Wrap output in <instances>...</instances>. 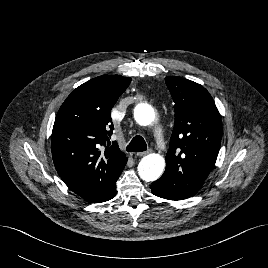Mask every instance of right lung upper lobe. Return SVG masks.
I'll list each match as a JSON object with an SVG mask.
<instances>
[{
  "label": "right lung upper lobe",
  "mask_w": 268,
  "mask_h": 268,
  "mask_svg": "<svg viewBox=\"0 0 268 268\" xmlns=\"http://www.w3.org/2000/svg\"><path fill=\"white\" fill-rule=\"evenodd\" d=\"M131 78L102 75L77 87L60 107L51 137L55 168L88 202H100L127 163L116 142L111 109Z\"/></svg>",
  "instance_id": "right-lung-upper-lobe-1"
}]
</instances>
